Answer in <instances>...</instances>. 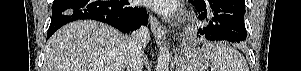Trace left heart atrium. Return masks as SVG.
<instances>
[{
  "label": "left heart atrium",
  "instance_id": "left-heart-atrium-1",
  "mask_svg": "<svg viewBox=\"0 0 301 71\" xmlns=\"http://www.w3.org/2000/svg\"><path fill=\"white\" fill-rule=\"evenodd\" d=\"M145 4L159 12L167 15H177L180 11L179 6L170 0H146Z\"/></svg>",
  "mask_w": 301,
  "mask_h": 71
}]
</instances>
